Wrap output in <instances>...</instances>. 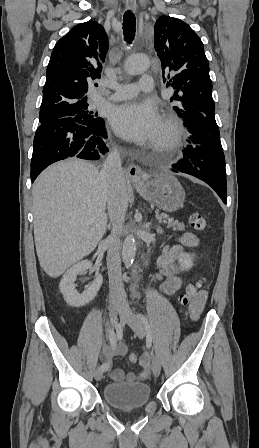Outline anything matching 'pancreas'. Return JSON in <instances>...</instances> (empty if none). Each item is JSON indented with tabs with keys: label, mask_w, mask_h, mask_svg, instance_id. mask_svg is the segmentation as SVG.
I'll return each instance as SVG.
<instances>
[{
	"label": "pancreas",
	"mask_w": 259,
	"mask_h": 448,
	"mask_svg": "<svg viewBox=\"0 0 259 448\" xmlns=\"http://www.w3.org/2000/svg\"><path fill=\"white\" fill-rule=\"evenodd\" d=\"M157 218H164L166 220L167 226L166 228H172V230H179V232H184L185 228H187V226H184L183 222L182 224H180L179 220H173V218H169V216H167V214H157L156 216ZM160 232H162V230H160Z\"/></svg>",
	"instance_id": "pancreas-1"
}]
</instances>
